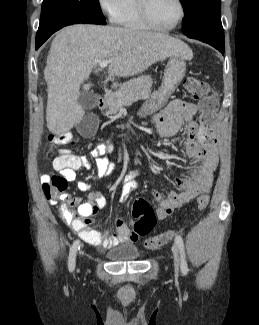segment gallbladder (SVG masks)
<instances>
[{
    "mask_svg": "<svg viewBox=\"0 0 259 325\" xmlns=\"http://www.w3.org/2000/svg\"><path fill=\"white\" fill-rule=\"evenodd\" d=\"M98 101L97 94L93 92H81L78 102L85 110H91L96 107ZM99 125V119L95 114L83 115L82 121L77 129L85 139H92Z\"/></svg>",
    "mask_w": 259,
    "mask_h": 325,
    "instance_id": "gallbladder-1",
    "label": "gallbladder"
}]
</instances>
